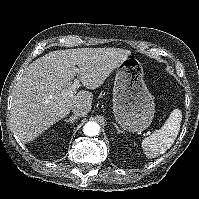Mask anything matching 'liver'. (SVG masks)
Listing matches in <instances>:
<instances>
[{"mask_svg": "<svg viewBox=\"0 0 199 199\" xmlns=\"http://www.w3.org/2000/svg\"><path fill=\"white\" fill-rule=\"evenodd\" d=\"M130 55L120 48H78L56 50L33 61L12 96L11 122L17 137L23 143L32 141L77 104L90 111L92 93L70 95L71 81L77 75L87 89H96Z\"/></svg>", "mask_w": 199, "mask_h": 199, "instance_id": "1", "label": "liver"}]
</instances>
